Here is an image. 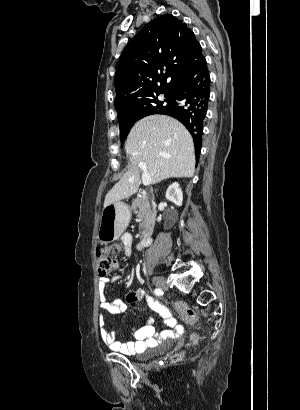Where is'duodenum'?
Segmentation results:
<instances>
[{
	"mask_svg": "<svg viewBox=\"0 0 300 410\" xmlns=\"http://www.w3.org/2000/svg\"><path fill=\"white\" fill-rule=\"evenodd\" d=\"M151 242H152V236H150V235L144 236L137 243V248L139 250L144 249V248L148 247L151 244Z\"/></svg>",
	"mask_w": 300,
	"mask_h": 410,
	"instance_id": "1",
	"label": "duodenum"
}]
</instances>
